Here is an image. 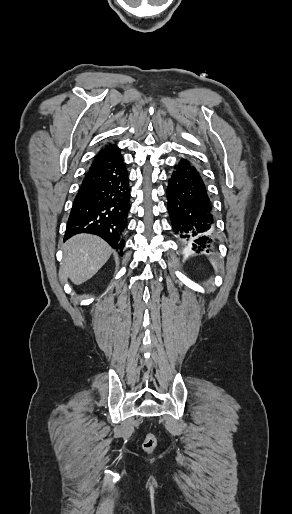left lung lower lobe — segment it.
I'll return each mask as SVG.
<instances>
[{
  "label": "left lung lower lobe",
  "instance_id": "1",
  "mask_svg": "<svg viewBox=\"0 0 292 514\" xmlns=\"http://www.w3.org/2000/svg\"><path fill=\"white\" fill-rule=\"evenodd\" d=\"M174 169L166 190L173 230L185 245L209 252L214 246L215 220L204 181L188 159L181 158Z\"/></svg>",
  "mask_w": 292,
  "mask_h": 514
}]
</instances>
